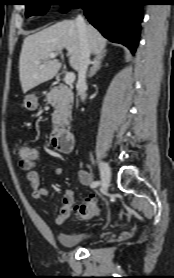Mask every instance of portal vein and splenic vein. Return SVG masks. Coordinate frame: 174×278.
Listing matches in <instances>:
<instances>
[{"mask_svg": "<svg viewBox=\"0 0 174 278\" xmlns=\"http://www.w3.org/2000/svg\"><path fill=\"white\" fill-rule=\"evenodd\" d=\"M58 55H59L58 52L51 53V54H49V58H55ZM74 80H75V74L73 72L67 73L65 75L64 81H65L66 84L70 85L74 82Z\"/></svg>", "mask_w": 174, "mask_h": 278, "instance_id": "obj_1", "label": "portal vein and splenic vein"}]
</instances>
